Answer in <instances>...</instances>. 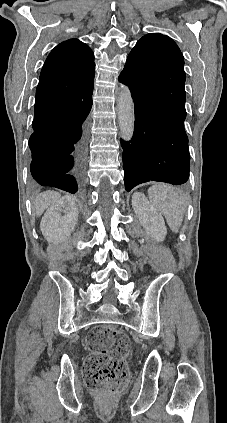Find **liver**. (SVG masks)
<instances>
[{
  "label": "liver",
  "instance_id": "6515ba94",
  "mask_svg": "<svg viewBox=\"0 0 227 423\" xmlns=\"http://www.w3.org/2000/svg\"><path fill=\"white\" fill-rule=\"evenodd\" d=\"M57 200H60V194H58V192H50V190H48V192L39 194L34 202L37 217L42 215L43 211L47 210L48 206L55 204Z\"/></svg>",
  "mask_w": 227,
  "mask_h": 423
}]
</instances>
